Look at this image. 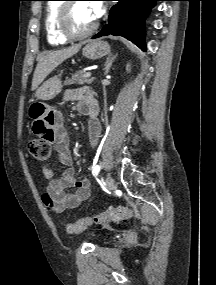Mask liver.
I'll use <instances>...</instances> for the list:
<instances>
[{"label": "liver", "mask_w": 216, "mask_h": 285, "mask_svg": "<svg viewBox=\"0 0 216 285\" xmlns=\"http://www.w3.org/2000/svg\"><path fill=\"white\" fill-rule=\"evenodd\" d=\"M81 46L82 44H77L65 49L52 51L46 55H42L39 58L34 71L32 90L37 89L44 79L64 60L76 54L80 50Z\"/></svg>", "instance_id": "obj_1"}]
</instances>
